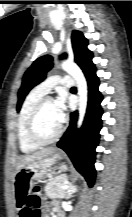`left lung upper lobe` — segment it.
I'll return each instance as SVG.
<instances>
[{
    "instance_id": "5c2ea615",
    "label": "left lung upper lobe",
    "mask_w": 132,
    "mask_h": 217,
    "mask_svg": "<svg viewBox=\"0 0 132 217\" xmlns=\"http://www.w3.org/2000/svg\"><path fill=\"white\" fill-rule=\"evenodd\" d=\"M88 41L79 31L72 33V47L75 55V61L88 74L94 69L92 62V52L87 48ZM65 57V55H63ZM52 67V57L49 55L36 59L30 68L25 72L22 86L18 92L17 111L20 110L22 102L28 92L37 84L42 82L46 77V72Z\"/></svg>"
}]
</instances>
